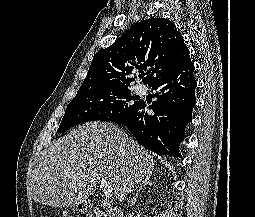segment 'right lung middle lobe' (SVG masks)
Instances as JSON below:
<instances>
[{
    "instance_id": "obj_1",
    "label": "right lung middle lobe",
    "mask_w": 255,
    "mask_h": 217,
    "mask_svg": "<svg viewBox=\"0 0 255 217\" xmlns=\"http://www.w3.org/2000/svg\"><path fill=\"white\" fill-rule=\"evenodd\" d=\"M140 103L129 87L79 93L68 104L58 132L87 121H112L128 114Z\"/></svg>"
}]
</instances>
